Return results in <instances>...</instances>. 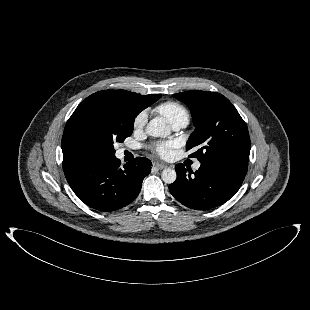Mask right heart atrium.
<instances>
[{
    "mask_svg": "<svg viewBox=\"0 0 310 310\" xmlns=\"http://www.w3.org/2000/svg\"><path fill=\"white\" fill-rule=\"evenodd\" d=\"M146 114L144 112L139 113L134 120V128L141 129L146 123Z\"/></svg>",
    "mask_w": 310,
    "mask_h": 310,
    "instance_id": "right-heart-atrium-1",
    "label": "right heart atrium"
}]
</instances>
